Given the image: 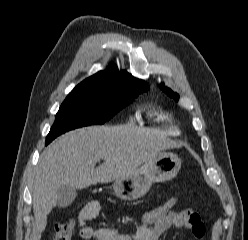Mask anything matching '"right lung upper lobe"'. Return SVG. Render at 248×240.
Listing matches in <instances>:
<instances>
[{
    "label": "right lung upper lobe",
    "mask_w": 248,
    "mask_h": 240,
    "mask_svg": "<svg viewBox=\"0 0 248 240\" xmlns=\"http://www.w3.org/2000/svg\"><path fill=\"white\" fill-rule=\"evenodd\" d=\"M127 81L144 82L142 80L134 78L131 74L126 71H119L114 64H110V66L105 71H100L95 75L85 79L83 82L77 85L73 89V91L84 89L115 88L116 86L123 84Z\"/></svg>",
    "instance_id": "1"
}]
</instances>
